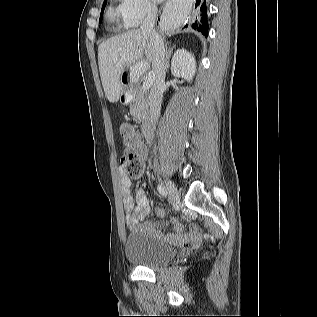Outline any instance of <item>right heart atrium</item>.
I'll list each match as a JSON object with an SVG mask.
<instances>
[{"label": "right heart atrium", "instance_id": "d8ad5b80", "mask_svg": "<svg viewBox=\"0 0 317 317\" xmlns=\"http://www.w3.org/2000/svg\"><path fill=\"white\" fill-rule=\"evenodd\" d=\"M119 6L123 20L130 28L139 26L156 12V6L151 0H120Z\"/></svg>", "mask_w": 317, "mask_h": 317}]
</instances>
